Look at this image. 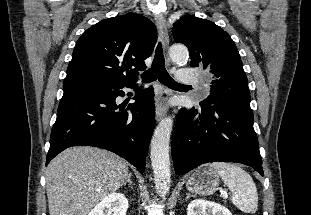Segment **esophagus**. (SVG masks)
Listing matches in <instances>:
<instances>
[{
	"label": "esophagus",
	"mask_w": 311,
	"mask_h": 215,
	"mask_svg": "<svg viewBox=\"0 0 311 215\" xmlns=\"http://www.w3.org/2000/svg\"><path fill=\"white\" fill-rule=\"evenodd\" d=\"M155 18H156V25L158 28L160 39L164 47L167 48L168 43H169V36H168V30H167L165 19L162 14L155 15ZM155 113H156L157 121H159L166 114V106L162 101H157L156 107H155Z\"/></svg>",
	"instance_id": "1"
}]
</instances>
